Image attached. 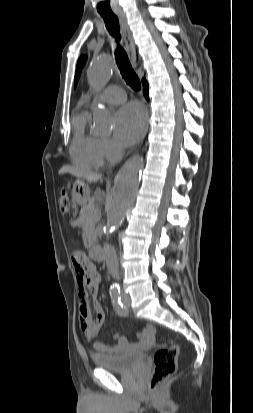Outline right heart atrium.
Instances as JSON below:
<instances>
[{
	"label": "right heart atrium",
	"instance_id": "right-heart-atrium-1",
	"mask_svg": "<svg viewBox=\"0 0 253 413\" xmlns=\"http://www.w3.org/2000/svg\"><path fill=\"white\" fill-rule=\"evenodd\" d=\"M100 146L104 158L109 161L117 159L121 153L120 147L109 138H102L100 141Z\"/></svg>",
	"mask_w": 253,
	"mask_h": 413
}]
</instances>
